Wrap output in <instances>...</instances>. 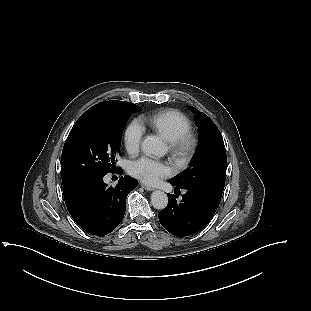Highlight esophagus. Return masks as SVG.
<instances>
[{
  "label": "esophagus",
  "mask_w": 311,
  "mask_h": 311,
  "mask_svg": "<svg viewBox=\"0 0 311 311\" xmlns=\"http://www.w3.org/2000/svg\"><path fill=\"white\" fill-rule=\"evenodd\" d=\"M141 187L144 188V189L147 190V191H152V190H154L153 187L148 186V185H145V184H143V183L141 184Z\"/></svg>",
  "instance_id": "obj_1"
}]
</instances>
